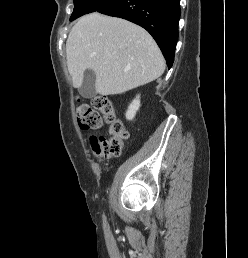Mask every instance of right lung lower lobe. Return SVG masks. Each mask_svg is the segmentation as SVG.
Masks as SVG:
<instances>
[{
  "label": "right lung lower lobe",
  "mask_w": 248,
  "mask_h": 258,
  "mask_svg": "<svg viewBox=\"0 0 248 258\" xmlns=\"http://www.w3.org/2000/svg\"><path fill=\"white\" fill-rule=\"evenodd\" d=\"M98 12L129 20L146 29L172 67L178 39L180 0H113Z\"/></svg>",
  "instance_id": "1"
}]
</instances>
